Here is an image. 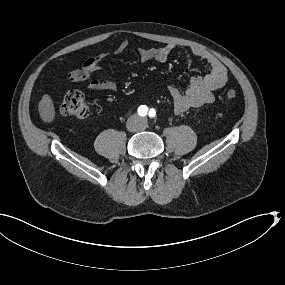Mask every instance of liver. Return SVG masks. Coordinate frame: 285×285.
<instances>
[{
  "label": "liver",
  "instance_id": "1",
  "mask_svg": "<svg viewBox=\"0 0 285 285\" xmlns=\"http://www.w3.org/2000/svg\"><path fill=\"white\" fill-rule=\"evenodd\" d=\"M38 112L41 120L45 123H52L56 118V110L52 97L45 93L38 103Z\"/></svg>",
  "mask_w": 285,
  "mask_h": 285
}]
</instances>
